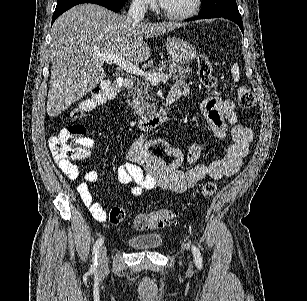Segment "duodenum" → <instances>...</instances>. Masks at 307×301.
Wrapping results in <instances>:
<instances>
[{"instance_id": "1", "label": "duodenum", "mask_w": 307, "mask_h": 301, "mask_svg": "<svg viewBox=\"0 0 307 301\" xmlns=\"http://www.w3.org/2000/svg\"><path fill=\"white\" fill-rule=\"evenodd\" d=\"M123 85L127 91H130L134 87V80L131 78H125L123 81ZM178 98H179L178 96L171 93L167 99L166 108L160 110L151 117L136 121V125L143 130H150L164 123L167 120L168 116L167 109Z\"/></svg>"}]
</instances>
